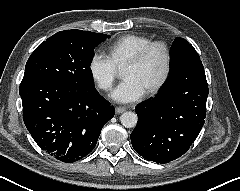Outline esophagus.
I'll use <instances>...</instances> for the list:
<instances>
[{"mask_svg": "<svg viewBox=\"0 0 240 191\" xmlns=\"http://www.w3.org/2000/svg\"><path fill=\"white\" fill-rule=\"evenodd\" d=\"M126 111V108L125 107H116L115 108V112L117 113V114H121V113H123V112H125Z\"/></svg>", "mask_w": 240, "mask_h": 191, "instance_id": "esophagus-1", "label": "esophagus"}]
</instances>
